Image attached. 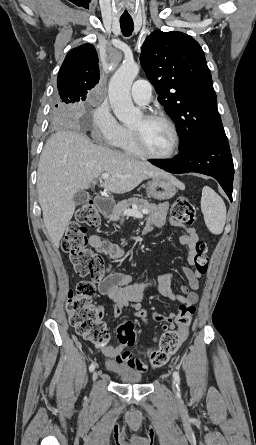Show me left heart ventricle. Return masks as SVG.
<instances>
[{
	"label": "left heart ventricle",
	"instance_id": "b2bd125f",
	"mask_svg": "<svg viewBox=\"0 0 256 445\" xmlns=\"http://www.w3.org/2000/svg\"><path fill=\"white\" fill-rule=\"evenodd\" d=\"M140 132L146 148L157 155L168 153L173 145L169 126L162 121H145L140 117L131 127Z\"/></svg>",
	"mask_w": 256,
	"mask_h": 445
}]
</instances>
